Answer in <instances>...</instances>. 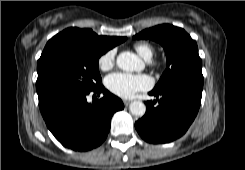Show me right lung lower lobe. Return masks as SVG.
I'll return each instance as SVG.
<instances>
[{
  "label": "right lung lower lobe",
  "mask_w": 245,
  "mask_h": 170,
  "mask_svg": "<svg viewBox=\"0 0 245 170\" xmlns=\"http://www.w3.org/2000/svg\"><path fill=\"white\" fill-rule=\"evenodd\" d=\"M101 99L87 102L91 92L65 93L39 103L48 129L65 147L75 151H88L101 145L106 139L111 117L122 110L121 99L103 87L93 89Z\"/></svg>",
  "instance_id": "98d812e1"
}]
</instances>
